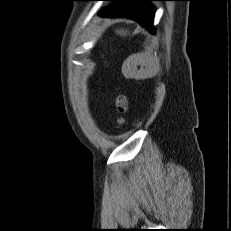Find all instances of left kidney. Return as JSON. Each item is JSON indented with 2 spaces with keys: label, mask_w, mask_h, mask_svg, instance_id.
<instances>
[{
  "label": "left kidney",
  "mask_w": 231,
  "mask_h": 231,
  "mask_svg": "<svg viewBox=\"0 0 231 231\" xmlns=\"http://www.w3.org/2000/svg\"><path fill=\"white\" fill-rule=\"evenodd\" d=\"M140 66V69L137 68ZM158 64L148 53H137L129 56L122 65V73L127 79H147L156 75Z\"/></svg>",
  "instance_id": "1"
}]
</instances>
